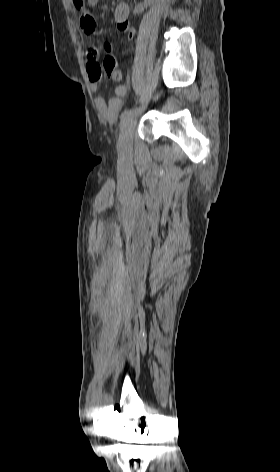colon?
I'll use <instances>...</instances> for the list:
<instances>
[{"mask_svg": "<svg viewBox=\"0 0 280 472\" xmlns=\"http://www.w3.org/2000/svg\"><path fill=\"white\" fill-rule=\"evenodd\" d=\"M81 2H85V0H83ZM88 2H90L92 4H95L98 1L97 0H88ZM103 68H104V71H105L106 75L110 79L118 81L122 78V72L118 69L115 60L107 59V58L104 59Z\"/></svg>", "mask_w": 280, "mask_h": 472, "instance_id": "5ec220e1", "label": "colon"}]
</instances>
